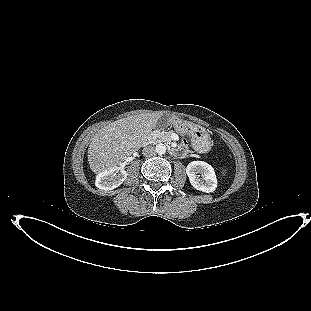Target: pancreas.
<instances>
[{"label":"pancreas","instance_id":"1","mask_svg":"<svg viewBox=\"0 0 311 311\" xmlns=\"http://www.w3.org/2000/svg\"><path fill=\"white\" fill-rule=\"evenodd\" d=\"M171 131H159L155 132L154 135L157 139V141H162V142H170L171 141Z\"/></svg>","mask_w":311,"mask_h":311}]
</instances>
